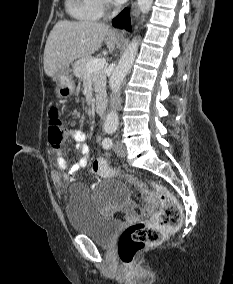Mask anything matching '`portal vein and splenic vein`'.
Listing matches in <instances>:
<instances>
[{"label": "portal vein and splenic vein", "instance_id": "portal-vein-and-splenic-vein-1", "mask_svg": "<svg viewBox=\"0 0 233 284\" xmlns=\"http://www.w3.org/2000/svg\"><path fill=\"white\" fill-rule=\"evenodd\" d=\"M106 60L104 58H97L88 62L87 67L89 71H98L103 69Z\"/></svg>", "mask_w": 233, "mask_h": 284}]
</instances>
